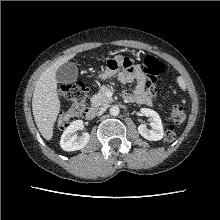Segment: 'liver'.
Segmentation results:
<instances>
[{
	"label": "liver",
	"mask_w": 220,
	"mask_h": 220,
	"mask_svg": "<svg viewBox=\"0 0 220 220\" xmlns=\"http://www.w3.org/2000/svg\"><path fill=\"white\" fill-rule=\"evenodd\" d=\"M74 56L75 54H71L55 61L40 75L35 84L32 98L33 116L41 135L46 140L52 139L54 123L61 108L57 92L56 71Z\"/></svg>",
	"instance_id": "obj_1"
}]
</instances>
